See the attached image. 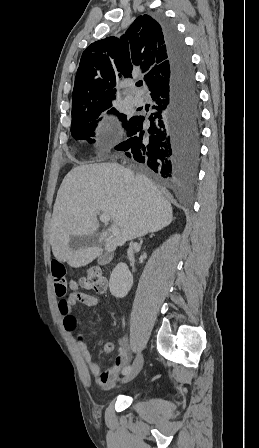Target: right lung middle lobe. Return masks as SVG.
<instances>
[{
  "instance_id": "dd1d6c3e",
  "label": "right lung middle lobe",
  "mask_w": 259,
  "mask_h": 448,
  "mask_svg": "<svg viewBox=\"0 0 259 448\" xmlns=\"http://www.w3.org/2000/svg\"><path fill=\"white\" fill-rule=\"evenodd\" d=\"M111 107L112 105H105L73 112L71 123V134L73 138L76 140L84 139L89 143H93L95 140L90 137L94 136L95 127L97 126L98 121L101 120L99 116L102 112ZM107 113H115L120 121H122V126L125 129L133 119L132 117L128 120L125 114L119 113L115 108H111Z\"/></svg>"
}]
</instances>
